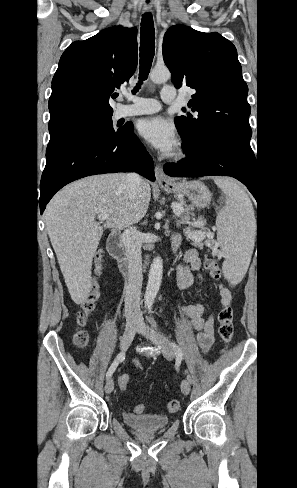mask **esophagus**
I'll return each instance as SVG.
<instances>
[{
    "label": "esophagus",
    "mask_w": 297,
    "mask_h": 488,
    "mask_svg": "<svg viewBox=\"0 0 297 488\" xmlns=\"http://www.w3.org/2000/svg\"><path fill=\"white\" fill-rule=\"evenodd\" d=\"M144 11L148 12L152 9V2L151 0H146L144 2ZM155 177L156 181L159 184H167L170 183V179L167 177V175L164 173L162 167L160 165L155 166Z\"/></svg>",
    "instance_id": "34e87169"
}]
</instances>
